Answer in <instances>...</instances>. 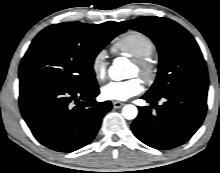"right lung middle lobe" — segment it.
<instances>
[{
  "label": "right lung middle lobe",
  "instance_id": "right-lung-middle-lobe-1",
  "mask_svg": "<svg viewBox=\"0 0 220 173\" xmlns=\"http://www.w3.org/2000/svg\"><path fill=\"white\" fill-rule=\"evenodd\" d=\"M116 35L78 22L48 26L23 57L19 78L47 80L74 89L95 85L94 59Z\"/></svg>",
  "mask_w": 220,
  "mask_h": 173
}]
</instances>
